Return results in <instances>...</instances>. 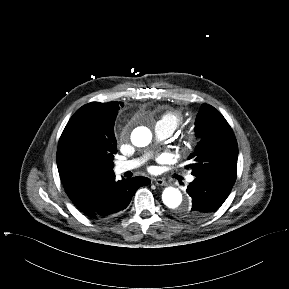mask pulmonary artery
<instances>
[{"mask_svg":"<svg viewBox=\"0 0 289 289\" xmlns=\"http://www.w3.org/2000/svg\"><path fill=\"white\" fill-rule=\"evenodd\" d=\"M154 132L159 140H163L167 137H169L173 130L165 123L158 121L154 127ZM142 163V160L140 159H133V160H126V161H119L115 165V172L117 174H122L124 172L133 170L140 166ZM194 180V177L192 175H189L187 177L188 182H192Z\"/></svg>","mask_w":289,"mask_h":289,"instance_id":"e3ab8cb5","label":"pulmonary artery"}]
</instances>
